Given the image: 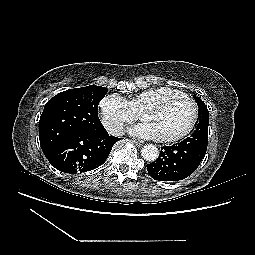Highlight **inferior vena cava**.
<instances>
[{
  "label": "inferior vena cava",
  "mask_w": 255,
  "mask_h": 255,
  "mask_svg": "<svg viewBox=\"0 0 255 255\" xmlns=\"http://www.w3.org/2000/svg\"><path fill=\"white\" fill-rule=\"evenodd\" d=\"M109 130V133L114 135V136H122L124 135V130L123 127L120 125H115L113 127H111Z\"/></svg>",
  "instance_id": "inferior-vena-cava-1"
}]
</instances>
